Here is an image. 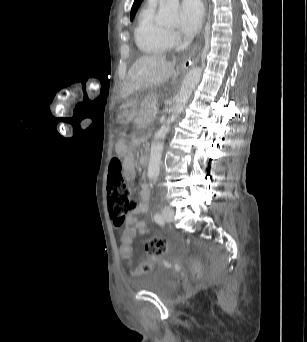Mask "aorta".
<instances>
[{
    "label": "aorta",
    "instance_id": "1",
    "mask_svg": "<svg viewBox=\"0 0 307 342\" xmlns=\"http://www.w3.org/2000/svg\"><path fill=\"white\" fill-rule=\"evenodd\" d=\"M159 18L162 24L166 26H179L180 24V4L179 0H160L159 4ZM202 76L201 68H192L186 74L181 88L175 98V104L171 108V116H169L166 124H162L160 130L154 136L151 144L150 160L148 166L149 178H158L160 174V164L162 152L164 148V138L170 130L172 122L179 118L183 112L193 90L198 86Z\"/></svg>",
    "mask_w": 307,
    "mask_h": 342
}]
</instances>
